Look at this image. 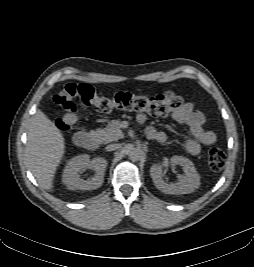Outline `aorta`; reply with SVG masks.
I'll use <instances>...</instances> for the list:
<instances>
[{
  "label": "aorta",
  "mask_w": 254,
  "mask_h": 267,
  "mask_svg": "<svg viewBox=\"0 0 254 267\" xmlns=\"http://www.w3.org/2000/svg\"><path fill=\"white\" fill-rule=\"evenodd\" d=\"M127 154L132 161L141 160L143 157V151L134 145H129L127 147Z\"/></svg>",
  "instance_id": "aorta-1"
}]
</instances>
